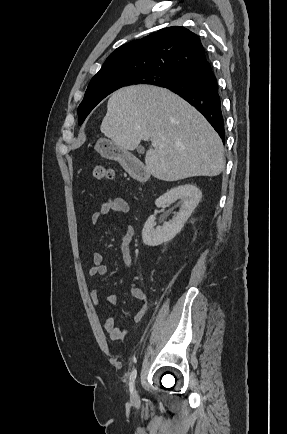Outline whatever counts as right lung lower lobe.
<instances>
[{
  "label": "right lung lower lobe",
  "instance_id": "right-lung-lower-lobe-1",
  "mask_svg": "<svg viewBox=\"0 0 287 434\" xmlns=\"http://www.w3.org/2000/svg\"><path fill=\"white\" fill-rule=\"evenodd\" d=\"M166 88L184 98L201 112L224 143L225 129L221 97L209 60L206 59L187 69L175 83Z\"/></svg>",
  "mask_w": 287,
  "mask_h": 434
}]
</instances>
